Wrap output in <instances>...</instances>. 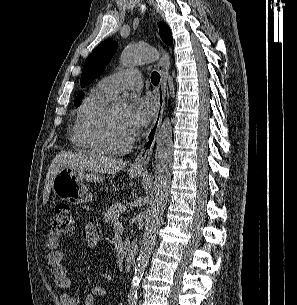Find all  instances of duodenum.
<instances>
[{
	"mask_svg": "<svg viewBox=\"0 0 297 305\" xmlns=\"http://www.w3.org/2000/svg\"><path fill=\"white\" fill-rule=\"evenodd\" d=\"M135 259H136V246L132 244L127 250V255L124 263V270L126 272H129L132 269Z\"/></svg>",
	"mask_w": 297,
	"mask_h": 305,
	"instance_id": "obj_1",
	"label": "duodenum"
}]
</instances>
